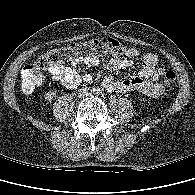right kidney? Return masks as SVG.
I'll list each match as a JSON object with an SVG mask.
<instances>
[{
	"instance_id": "ca27d5eb",
	"label": "right kidney",
	"mask_w": 195,
	"mask_h": 195,
	"mask_svg": "<svg viewBox=\"0 0 195 195\" xmlns=\"http://www.w3.org/2000/svg\"><path fill=\"white\" fill-rule=\"evenodd\" d=\"M56 91H49L48 93L45 94L44 98L47 101H51L53 97H55Z\"/></svg>"
}]
</instances>
